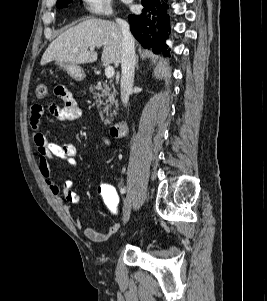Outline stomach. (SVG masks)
Instances as JSON below:
<instances>
[{
  "mask_svg": "<svg viewBox=\"0 0 267 301\" xmlns=\"http://www.w3.org/2000/svg\"><path fill=\"white\" fill-rule=\"evenodd\" d=\"M56 64L76 81H82L85 78V72L79 65L63 62H56Z\"/></svg>",
  "mask_w": 267,
  "mask_h": 301,
  "instance_id": "obj_1",
  "label": "stomach"
}]
</instances>
